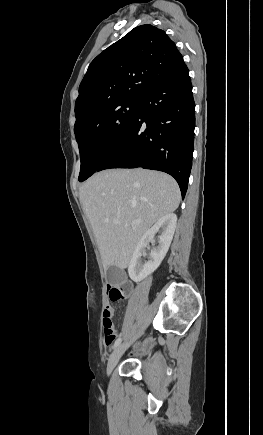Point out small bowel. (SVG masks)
I'll return each mask as SVG.
<instances>
[{
	"label": "small bowel",
	"mask_w": 263,
	"mask_h": 435,
	"mask_svg": "<svg viewBox=\"0 0 263 435\" xmlns=\"http://www.w3.org/2000/svg\"><path fill=\"white\" fill-rule=\"evenodd\" d=\"M127 286V285H126ZM127 288L129 289V286H127ZM107 311H109L111 314H112V316H113V309H112V306L109 304V303H107L106 305H105V307H104V311L103 312H107Z\"/></svg>",
	"instance_id": "c3829d8e"
}]
</instances>
